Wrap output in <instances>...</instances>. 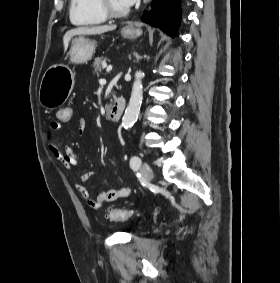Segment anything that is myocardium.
I'll return each mask as SVG.
<instances>
[{"instance_id": "obj_1", "label": "myocardium", "mask_w": 280, "mask_h": 283, "mask_svg": "<svg viewBox=\"0 0 280 283\" xmlns=\"http://www.w3.org/2000/svg\"><path fill=\"white\" fill-rule=\"evenodd\" d=\"M97 4H98L99 9L102 11V13L108 18L124 17L130 11L129 7L125 10L117 11L109 5L108 0H97Z\"/></svg>"}]
</instances>
